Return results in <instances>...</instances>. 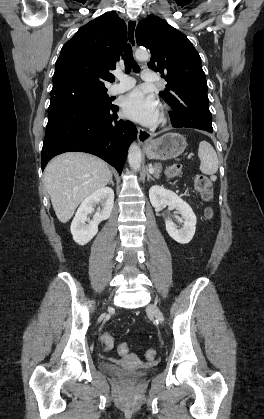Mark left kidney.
Listing matches in <instances>:
<instances>
[{"instance_id":"1","label":"left kidney","mask_w":264,"mask_h":419,"mask_svg":"<svg viewBox=\"0 0 264 419\" xmlns=\"http://www.w3.org/2000/svg\"><path fill=\"white\" fill-rule=\"evenodd\" d=\"M149 198L153 207L161 209L165 206H171L181 214L184 219L182 227L178 229L171 220L166 219V231L176 242L180 244L189 243L195 234L197 221L190 205L173 191L158 185L150 188Z\"/></svg>"}]
</instances>
